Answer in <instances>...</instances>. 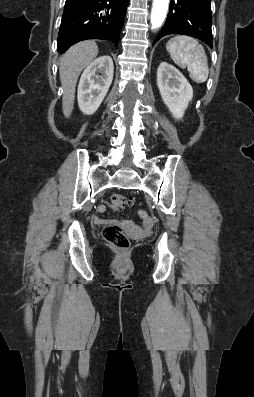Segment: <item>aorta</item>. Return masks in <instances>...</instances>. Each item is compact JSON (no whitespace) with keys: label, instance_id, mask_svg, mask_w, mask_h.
<instances>
[{"label":"aorta","instance_id":"1","mask_svg":"<svg viewBox=\"0 0 254 397\" xmlns=\"http://www.w3.org/2000/svg\"><path fill=\"white\" fill-rule=\"evenodd\" d=\"M169 0H153L151 12V25L153 29L159 28L168 11Z\"/></svg>","mask_w":254,"mask_h":397}]
</instances>
